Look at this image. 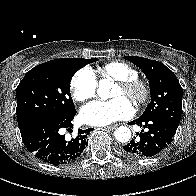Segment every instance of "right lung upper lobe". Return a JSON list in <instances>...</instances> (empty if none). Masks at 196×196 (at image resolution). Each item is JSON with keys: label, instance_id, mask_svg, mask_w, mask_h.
<instances>
[{"label": "right lung upper lobe", "instance_id": "obj_1", "mask_svg": "<svg viewBox=\"0 0 196 196\" xmlns=\"http://www.w3.org/2000/svg\"><path fill=\"white\" fill-rule=\"evenodd\" d=\"M78 59H81V60H88V59H83V58H78Z\"/></svg>", "mask_w": 196, "mask_h": 196}]
</instances>
